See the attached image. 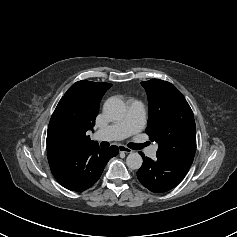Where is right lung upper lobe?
Listing matches in <instances>:
<instances>
[{"label": "right lung upper lobe", "mask_w": 237, "mask_h": 237, "mask_svg": "<svg viewBox=\"0 0 237 237\" xmlns=\"http://www.w3.org/2000/svg\"><path fill=\"white\" fill-rule=\"evenodd\" d=\"M112 86L109 83L78 81L59 101L49 124L57 123L66 131L65 146L84 148L97 145L90 141L86 132L94 127L99 104L104 93Z\"/></svg>", "instance_id": "cb5924a9"}]
</instances>
